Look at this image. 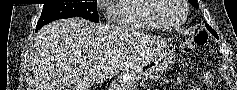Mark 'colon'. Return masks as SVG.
Returning <instances> with one entry per match:
<instances>
[{"mask_svg":"<svg viewBox=\"0 0 237 90\" xmlns=\"http://www.w3.org/2000/svg\"><path fill=\"white\" fill-rule=\"evenodd\" d=\"M207 40V34L204 32H200L195 36L183 39L180 43V47L185 55H190L195 51L197 47L204 45Z\"/></svg>","mask_w":237,"mask_h":90,"instance_id":"obj_1","label":"colon"}]
</instances>
